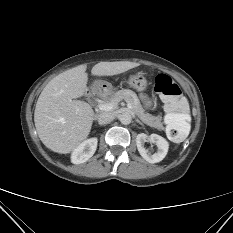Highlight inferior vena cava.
Returning <instances> with one entry per match:
<instances>
[{"mask_svg": "<svg viewBox=\"0 0 233 233\" xmlns=\"http://www.w3.org/2000/svg\"><path fill=\"white\" fill-rule=\"evenodd\" d=\"M115 118V113L113 112H103L98 115L99 124H107L113 121Z\"/></svg>", "mask_w": 233, "mask_h": 233, "instance_id": "602c4592", "label": "inferior vena cava"}]
</instances>
